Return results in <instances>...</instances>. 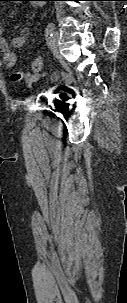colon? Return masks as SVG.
<instances>
[{
	"label": "colon",
	"mask_w": 127,
	"mask_h": 303,
	"mask_svg": "<svg viewBox=\"0 0 127 303\" xmlns=\"http://www.w3.org/2000/svg\"><path fill=\"white\" fill-rule=\"evenodd\" d=\"M41 66H42V60H41V58L38 57L33 62V69L38 71L41 68ZM23 75H24V72L14 73L12 75V80L15 82H18L22 79Z\"/></svg>",
	"instance_id": "1"
}]
</instances>
